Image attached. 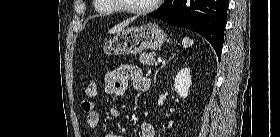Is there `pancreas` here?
Segmentation results:
<instances>
[{
  "mask_svg": "<svg viewBox=\"0 0 280 137\" xmlns=\"http://www.w3.org/2000/svg\"><path fill=\"white\" fill-rule=\"evenodd\" d=\"M140 61L143 64H147L148 66H153L157 64L154 53H142L140 55Z\"/></svg>",
  "mask_w": 280,
  "mask_h": 137,
  "instance_id": "pancreas-1",
  "label": "pancreas"
}]
</instances>
